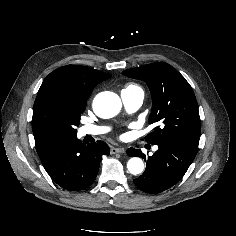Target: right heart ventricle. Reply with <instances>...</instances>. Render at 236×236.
Here are the masks:
<instances>
[{
  "instance_id": "right-heart-ventricle-1",
  "label": "right heart ventricle",
  "mask_w": 236,
  "mask_h": 236,
  "mask_svg": "<svg viewBox=\"0 0 236 236\" xmlns=\"http://www.w3.org/2000/svg\"><path fill=\"white\" fill-rule=\"evenodd\" d=\"M135 90H141V88L136 84H128L123 91H135Z\"/></svg>"
}]
</instances>
